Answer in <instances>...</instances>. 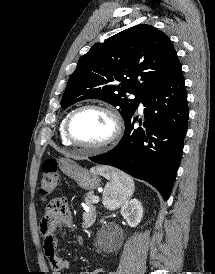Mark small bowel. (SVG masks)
<instances>
[{"instance_id":"1","label":"small bowel","mask_w":215,"mask_h":274,"mask_svg":"<svg viewBox=\"0 0 215 274\" xmlns=\"http://www.w3.org/2000/svg\"><path fill=\"white\" fill-rule=\"evenodd\" d=\"M75 227V222L65 199L57 198L48 204L40 224V233L43 237L44 252L50 263L52 274H61L62 271L69 268V261L57 253L58 239L56 233L62 228L74 230ZM78 241L83 242L80 237ZM101 272H105V270L100 268L80 274H98Z\"/></svg>"}]
</instances>
